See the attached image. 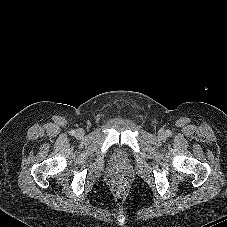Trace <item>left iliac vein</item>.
Instances as JSON below:
<instances>
[{"label": "left iliac vein", "mask_w": 227, "mask_h": 227, "mask_svg": "<svg viewBox=\"0 0 227 227\" xmlns=\"http://www.w3.org/2000/svg\"><path fill=\"white\" fill-rule=\"evenodd\" d=\"M158 136H159L160 139H164L166 137V133L164 131H160L158 133Z\"/></svg>", "instance_id": "obj_1"}]
</instances>
